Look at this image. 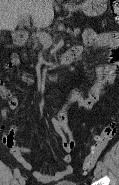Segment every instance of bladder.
I'll use <instances>...</instances> for the list:
<instances>
[{"instance_id":"obj_1","label":"bladder","mask_w":119,"mask_h":185,"mask_svg":"<svg viewBox=\"0 0 119 185\" xmlns=\"http://www.w3.org/2000/svg\"><path fill=\"white\" fill-rule=\"evenodd\" d=\"M55 185H78V184L74 181L65 180V181H59Z\"/></svg>"}]
</instances>
